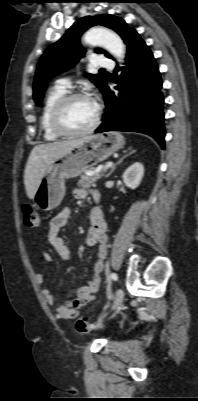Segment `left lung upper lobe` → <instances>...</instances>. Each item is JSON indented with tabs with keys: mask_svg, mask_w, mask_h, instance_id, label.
<instances>
[{
	"mask_svg": "<svg viewBox=\"0 0 198 401\" xmlns=\"http://www.w3.org/2000/svg\"><path fill=\"white\" fill-rule=\"evenodd\" d=\"M102 25L116 31L126 42L130 32L125 21L112 15L86 16L77 20L57 42L50 45L42 55L33 84V98L38 106H41L42 98L47 84L52 77L71 68L84 56L86 50L80 45V36L90 27ZM97 53H104L112 58L106 51L97 49ZM90 80L102 91L106 80L100 74L89 75Z\"/></svg>",
	"mask_w": 198,
	"mask_h": 401,
	"instance_id": "obj_1",
	"label": "left lung upper lobe"
}]
</instances>
